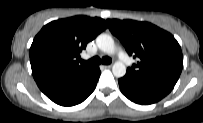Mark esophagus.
<instances>
[{
	"label": "esophagus",
	"instance_id": "esophagus-1",
	"mask_svg": "<svg viewBox=\"0 0 203 123\" xmlns=\"http://www.w3.org/2000/svg\"><path fill=\"white\" fill-rule=\"evenodd\" d=\"M112 67V65H103V68L105 69H110Z\"/></svg>",
	"mask_w": 203,
	"mask_h": 123
}]
</instances>
